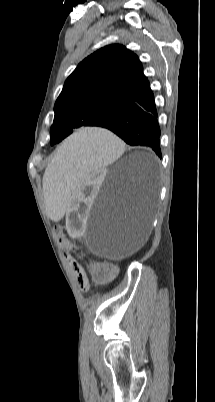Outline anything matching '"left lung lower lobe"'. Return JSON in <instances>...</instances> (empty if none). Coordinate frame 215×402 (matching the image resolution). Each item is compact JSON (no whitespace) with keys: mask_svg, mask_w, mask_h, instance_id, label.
Segmentation results:
<instances>
[{"mask_svg":"<svg viewBox=\"0 0 215 402\" xmlns=\"http://www.w3.org/2000/svg\"><path fill=\"white\" fill-rule=\"evenodd\" d=\"M96 126L111 130L131 146L150 147L161 158L160 127L148 81L132 99Z\"/></svg>","mask_w":215,"mask_h":402,"instance_id":"left-lung-lower-lobe-1","label":"left lung lower lobe"}]
</instances>
